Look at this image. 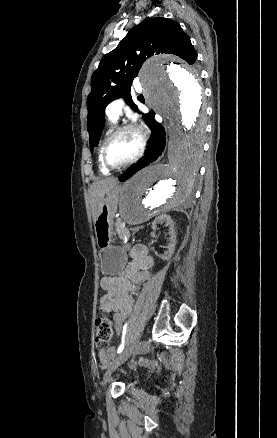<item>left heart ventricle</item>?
Here are the masks:
<instances>
[{"mask_svg": "<svg viewBox=\"0 0 277 438\" xmlns=\"http://www.w3.org/2000/svg\"><path fill=\"white\" fill-rule=\"evenodd\" d=\"M139 147L137 136L132 132H125L113 140L108 149V160L118 166L132 159Z\"/></svg>", "mask_w": 277, "mask_h": 438, "instance_id": "1", "label": "left heart ventricle"}]
</instances>
